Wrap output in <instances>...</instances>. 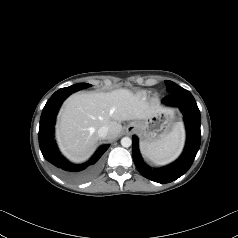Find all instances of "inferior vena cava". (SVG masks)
Segmentation results:
<instances>
[{"label":"inferior vena cava","instance_id":"inferior-vena-cava-1","mask_svg":"<svg viewBox=\"0 0 238 238\" xmlns=\"http://www.w3.org/2000/svg\"><path fill=\"white\" fill-rule=\"evenodd\" d=\"M108 127L102 126L98 129L97 133L100 138H106L108 135Z\"/></svg>","mask_w":238,"mask_h":238}]
</instances>
